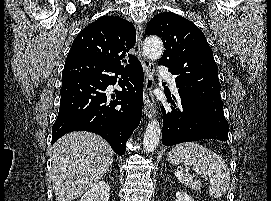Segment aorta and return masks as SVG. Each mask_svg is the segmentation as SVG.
Wrapping results in <instances>:
<instances>
[{
	"instance_id": "1",
	"label": "aorta",
	"mask_w": 271,
	"mask_h": 201,
	"mask_svg": "<svg viewBox=\"0 0 271 201\" xmlns=\"http://www.w3.org/2000/svg\"><path fill=\"white\" fill-rule=\"evenodd\" d=\"M143 51L149 60L155 61L159 59L164 51L161 39L156 36L147 37L143 43ZM160 136L161 128L157 119L154 118L149 122L143 137V147L147 153L156 149Z\"/></svg>"
}]
</instances>
